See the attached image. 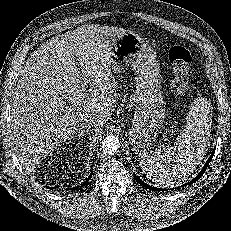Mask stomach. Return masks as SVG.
<instances>
[{
  "mask_svg": "<svg viewBox=\"0 0 231 231\" xmlns=\"http://www.w3.org/2000/svg\"><path fill=\"white\" fill-rule=\"evenodd\" d=\"M110 56L114 72L128 67L134 71L136 107L129 137L136 148H143L155 140L166 116L156 54L138 34L127 31L115 40Z\"/></svg>",
  "mask_w": 231,
  "mask_h": 231,
  "instance_id": "1",
  "label": "stomach"
}]
</instances>
